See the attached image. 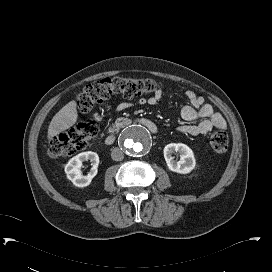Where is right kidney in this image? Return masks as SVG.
I'll use <instances>...</instances> for the list:
<instances>
[{
  "label": "right kidney",
  "mask_w": 272,
  "mask_h": 272,
  "mask_svg": "<svg viewBox=\"0 0 272 272\" xmlns=\"http://www.w3.org/2000/svg\"><path fill=\"white\" fill-rule=\"evenodd\" d=\"M90 160L92 168L88 175L81 174V166L84 161ZM99 164V156L92 151L82 152L69 160L65 166V173L67 178L77 187L88 186L92 179L97 174V167Z\"/></svg>",
  "instance_id": "right-kidney-1"
}]
</instances>
